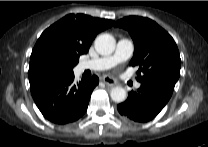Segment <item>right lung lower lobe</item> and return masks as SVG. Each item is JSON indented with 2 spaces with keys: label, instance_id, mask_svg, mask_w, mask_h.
<instances>
[{
  "label": "right lung lower lobe",
  "instance_id": "98d812e1",
  "mask_svg": "<svg viewBox=\"0 0 208 147\" xmlns=\"http://www.w3.org/2000/svg\"><path fill=\"white\" fill-rule=\"evenodd\" d=\"M97 76L74 81V74L30 86L32 97L45 118L57 124L78 120L87 110Z\"/></svg>",
  "mask_w": 208,
  "mask_h": 147
}]
</instances>
